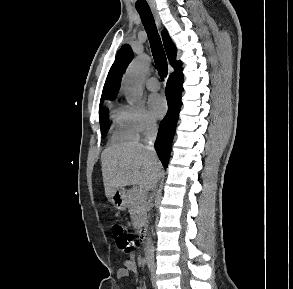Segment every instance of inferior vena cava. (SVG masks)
I'll use <instances>...</instances> for the list:
<instances>
[{
    "label": "inferior vena cava",
    "instance_id": "1",
    "mask_svg": "<svg viewBox=\"0 0 293 289\" xmlns=\"http://www.w3.org/2000/svg\"><path fill=\"white\" fill-rule=\"evenodd\" d=\"M157 137V125L155 122H150L147 128L145 142L147 143L146 148L150 150L155 156L156 152L154 149V142Z\"/></svg>",
    "mask_w": 293,
    "mask_h": 289
}]
</instances>
